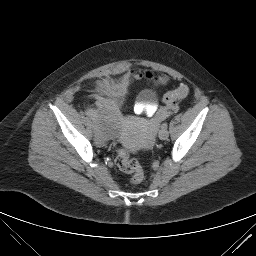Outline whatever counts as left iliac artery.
Masks as SVG:
<instances>
[{
	"instance_id": "left-iliac-artery-1",
	"label": "left iliac artery",
	"mask_w": 256,
	"mask_h": 256,
	"mask_svg": "<svg viewBox=\"0 0 256 256\" xmlns=\"http://www.w3.org/2000/svg\"><path fill=\"white\" fill-rule=\"evenodd\" d=\"M167 126H168L167 123H163V124H162V127L167 128Z\"/></svg>"
}]
</instances>
